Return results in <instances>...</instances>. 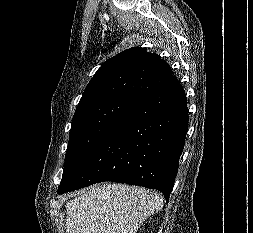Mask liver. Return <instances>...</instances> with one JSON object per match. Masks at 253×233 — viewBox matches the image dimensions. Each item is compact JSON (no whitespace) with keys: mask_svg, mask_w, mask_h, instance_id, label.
<instances>
[{"mask_svg":"<svg viewBox=\"0 0 253 233\" xmlns=\"http://www.w3.org/2000/svg\"><path fill=\"white\" fill-rule=\"evenodd\" d=\"M163 207V197L125 184L91 186L68 201L66 233H136Z\"/></svg>","mask_w":253,"mask_h":233,"instance_id":"liver-1","label":"liver"}]
</instances>
